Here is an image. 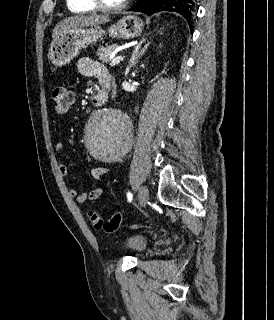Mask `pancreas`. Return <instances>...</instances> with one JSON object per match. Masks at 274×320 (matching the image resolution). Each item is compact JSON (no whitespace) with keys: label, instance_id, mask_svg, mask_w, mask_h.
I'll return each mask as SVG.
<instances>
[{"label":"pancreas","instance_id":"obj_1","mask_svg":"<svg viewBox=\"0 0 274 320\" xmlns=\"http://www.w3.org/2000/svg\"><path fill=\"white\" fill-rule=\"evenodd\" d=\"M117 48L118 46H116V44H114V46H107V48H98L97 50L98 60H101V62H109V58L112 52H115Z\"/></svg>","mask_w":274,"mask_h":320}]
</instances>
